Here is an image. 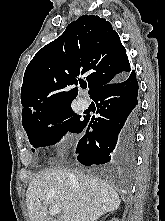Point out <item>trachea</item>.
<instances>
[{"label":"trachea","mask_w":165,"mask_h":221,"mask_svg":"<svg viewBox=\"0 0 165 221\" xmlns=\"http://www.w3.org/2000/svg\"><path fill=\"white\" fill-rule=\"evenodd\" d=\"M81 87H82V88H86V87H87V84H82Z\"/></svg>","instance_id":"3493384b"}]
</instances>
